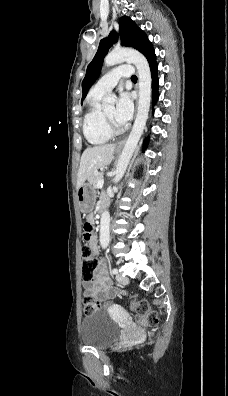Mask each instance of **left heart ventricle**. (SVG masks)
<instances>
[{
    "mask_svg": "<svg viewBox=\"0 0 228 396\" xmlns=\"http://www.w3.org/2000/svg\"><path fill=\"white\" fill-rule=\"evenodd\" d=\"M105 114L107 115V117L115 124L118 125L114 119V113H115V107L114 106H110L108 107L105 111Z\"/></svg>",
    "mask_w": 228,
    "mask_h": 396,
    "instance_id": "left-heart-ventricle-1",
    "label": "left heart ventricle"
}]
</instances>
